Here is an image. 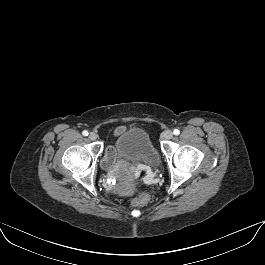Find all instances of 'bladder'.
Segmentation results:
<instances>
[{
    "mask_svg": "<svg viewBox=\"0 0 265 265\" xmlns=\"http://www.w3.org/2000/svg\"><path fill=\"white\" fill-rule=\"evenodd\" d=\"M112 159L127 163H144L152 169L160 166V156L147 131L131 128L118 135L110 146Z\"/></svg>",
    "mask_w": 265,
    "mask_h": 265,
    "instance_id": "bladder-1",
    "label": "bladder"
}]
</instances>
